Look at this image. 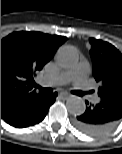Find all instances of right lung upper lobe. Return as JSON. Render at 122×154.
I'll return each instance as SVG.
<instances>
[{"instance_id":"cb5924a9","label":"right lung upper lobe","mask_w":122,"mask_h":154,"mask_svg":"<svg viewBox=\"0 0 122 154\" xmlns=\"http://www.w3.org/2000/svg\"><path fill=\"white\" fill-rule=\"evenodd\" d=\"M66 37L19 31L1 40V117L10 115L37 93L33 76L49 62Z\"/></svg>"}]
</instances>
